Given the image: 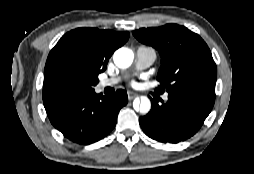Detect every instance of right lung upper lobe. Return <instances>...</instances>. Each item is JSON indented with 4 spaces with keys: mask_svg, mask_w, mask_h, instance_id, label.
Here are the masks:
<instances>
[{
    "mask_svg": "<svg viewBox=\"0 0 254 174\" xmlns=\"http://www.w3.org/2000/svg\"><path fill=\"white\" fill-rule=\"evenodd\" d=\"M129 33L77 28L66 33L48 55L44 76L59 64H71L90 73L105 71L113 52L124 45Z\"/></svg>",
    "mask_w": 254,
    "mask_h": 174,
    "instance_id": "cb5924a9",
    "label": "right lung upper lobe"
}]
</instances>
